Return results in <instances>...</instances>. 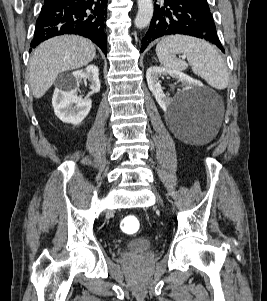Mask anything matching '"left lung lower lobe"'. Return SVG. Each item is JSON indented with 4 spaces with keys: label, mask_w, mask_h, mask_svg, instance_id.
<instances>
[{
    "label": "left lung lower lobe",
    "mask_w": 267,
    "mask_h": 301,
    "mask_svg": "<svg viewBox=\"0 0 267 301\" xmlns=\"http://www.w3.org/2000/svg\"><path fill=\"white\" fill-rule=\"evenodd\" d=\"M184 34L205 39L221 49L216 27L209 7L196 0H164V7L155 4L154 16L145 37L141 51L147 45L162 36Z\"/></svg>",
    "instance_id": "obj_1"
}]
</instances>
